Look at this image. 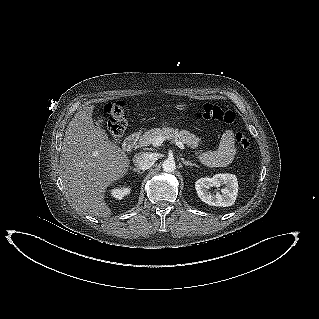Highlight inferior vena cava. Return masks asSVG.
I'll return each mask as SVG.
<instances>
[{
  "instance_id": "602c4592",
  "label": "inferior vena cava",
  "mask_w": 319,
  "mask_h": 319,
  "mask_svg": "<svg viewBox=\"0 0 319 319\" xmlns=\"http://www.w3.org/2000/svg\"><path fill=\"white\" fill-rule=\"evenodd\" d=\"M133 163L140 170H147L155 163V156L151 153L140 152L133 158Z\"/></svg>"
}]
</instances>
